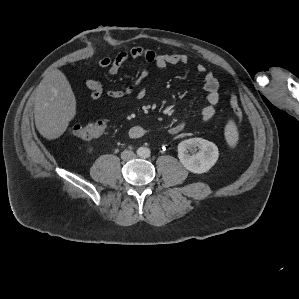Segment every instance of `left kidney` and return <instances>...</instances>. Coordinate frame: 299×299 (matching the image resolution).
Returning a JSON list of instances; mask_svg holds the SVG:
<instances>
[{"label": "left kidney", "instance_id": "left-kidney-1", "mask_svg": "<svg viewBox=\"0 0 299 299\" xmlns=\"http://www.w3.org/2000/svg\"><path fill=\"white\" fill-rule=\"evenodd\" d=\"M195 148L199 152L189 153L194 151ZM219 152L217 146L203 138H191L184 140L178 145V158L183 166L190 172L202 174L211 169L217 162Z\"/></svg>", "mask_w": 299, "mask_h": 299}]
</instances>
